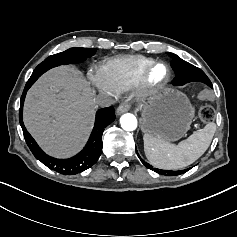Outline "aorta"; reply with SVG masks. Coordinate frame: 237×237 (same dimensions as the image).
Segmentation results:
<instances>
[{
  "label": "aorta",
  "mask_w": 237,
  "mask_h": 237,
  "mask_svg": "<svg viewBox=\"0 0 237 237\" xmlns=\"http://www.w3.org/2000/svg\"><path fill=\"white\" fill-rule=\"evenodd\" d=\"M120 125L123 130L132 132L137 129L138 121H137V118L133 114H124L120 118Z\"/></svg>",
  "instance_id": "aorta-1"
}]
</instances>
